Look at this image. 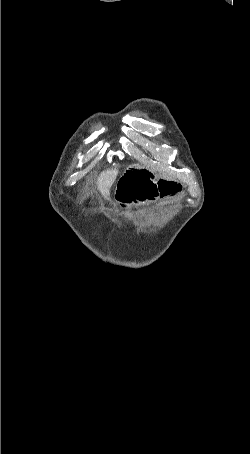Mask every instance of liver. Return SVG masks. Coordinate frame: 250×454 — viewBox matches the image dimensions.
<instances>
[{"label":"liver","instance_id":"obj_1","mask_svg":"<svg viewBox=\"0 0 250 454\" xmlns=\"http://www.w3.org/2000/svg\"><path fill=\"white\" fill-rule=\"evenodd\" d=\"M117 175V169H107L103 171L98 177L97 186L104 197H107L109 195L110 188L115 182Z\"/></svg>","mask_w":250,"mask_h":454}]
</instances>
